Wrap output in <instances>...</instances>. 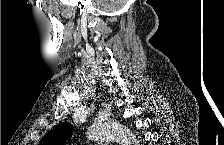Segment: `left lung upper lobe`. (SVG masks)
Returning <instances> with one entry per match:
<instances>
[{
	"label": "left lung upper lobe",
	"instance_id": "obj_1",
	"mask_svg": "<svg viewBox=\"0 0 224 145\" xmlns=\"http://www.w3.org/2000/svg\"><path fill=\"white\" fill-rule=\"evenodd\" d=\"M74 127L70 123H63L51 130L39 145H63L71 136Z\"/></svg>",
	"mask_w": 224,
	"mask_h": 145
}]
</instances>
